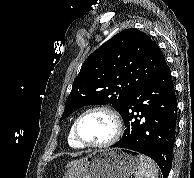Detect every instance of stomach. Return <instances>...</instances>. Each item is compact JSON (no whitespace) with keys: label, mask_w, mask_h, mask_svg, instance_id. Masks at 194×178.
Wrapping results in <instances>:
<instances>
[{"label":"stomach","mask_w":194,"mask_h":178,"mask_svg":"<svg viewBox=\"0 0 194 178\" xmlns=\"http://www.w3.org/2000/svg\"><path fill=\"white\" fill-rule=\"evenodd\" d=\"M139 168V156L127 149L94 151L72 166L63 178H129Z\"/></svg>","instance_id":"stomach-1"}]
</instances>
